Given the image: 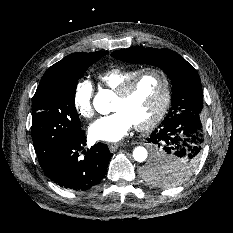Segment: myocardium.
Here are the masks:
<instances>
[{"label":"myocardium","mask_w":233,"mask_h":233,"mask_svg":"<svg viewBox=\"0 0 233 233\" xmlns=\"http://www.w3.org/2000/svg\"><path fill=\"white\" fill-rule=\"evenodd\" d=\"M153 73L160 77L162 81V99L156 110V112L147 121L139 124H135V128L139 131H148L154 128L166 114L171 101V83L168 74L161 68L158 67H145L125 82H123L118 89L115 91L116 95L119 97H126L136 82L145 74Z\"/></svg>","instance_id":"myocardium-1"}]
</instances>
